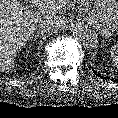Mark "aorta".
<instances>
[{
	"label": "aorta",
	"instance_id": "obj_1",
	"mask_svg": "<svg viewBox=\"0 0 118 118\" xmlns=\"http://www.w3.org/2000/svg\"><path fill=\"white\" fill-rule=\"evenodd\" d=\"M72 33L74 38L81 44L86 50H96L99 46L97 37L93 32L85 28L79 23L72 25Z\"/></svg>",
	"mask_w": 118,
	"mask_h": 118
}]
</instances>
